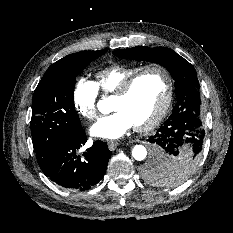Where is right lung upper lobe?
Returning <instances> with one entry per match:
<instances>
[{"label": "right lung upper lobe", "mask_w": 233, "mask_h": 233, "mask_svg": "<svg viewBox=\"0 0 233 233\" xmlns=\"http://www.w3.org/2000/svg\"><path fill=\"white\" fill-rule=\"evenodd\" d=\"M71 57V54L58 60L57 62H55L54 64H52L49 68H56L59 67L63 62L67 61L69 58Z\"/></svg>", "instance_id": "obj_1"}]
</instances>
